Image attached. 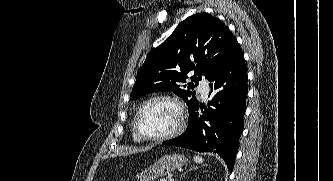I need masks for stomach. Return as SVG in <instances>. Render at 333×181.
<instances>
[{
	"label": "stomach",
	"mask_w": 333,
	"mask_h": 181,
	"mask_svg": "<svg viewBox=\"0 0 333 181\" xmlns=\"http://www.w3.org/2000/svg\"><path fill=\"white\" fill-rule=\"evenodd\" d=\"M187 163L185 156L180 154H168L162 156L151 166L141 170L136 175L138 181H153L155 178L162 177L173 172Z\"/></svg>",
	"instance_id": "0dacf381"
}]
</instances>
